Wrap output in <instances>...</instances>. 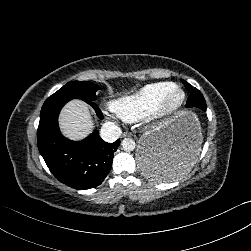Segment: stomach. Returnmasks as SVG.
<instances>
[{"label": "stomach", "instance_id": "0dacf381", "mask_svg": "<svg viewBox=\"0 0 251 251\" xmlns=\"http://www.w3.org/2000/svg\"><path fill=\"white\" fill-rule=\"evenodd\" d=\"M202 140L197 113L182 108L161 127L143 132L136 151L139 169L148 181L176 179L198 164Z\"/></svg>", "mask_w": 251, "mask_h": 251}]
</instances>
